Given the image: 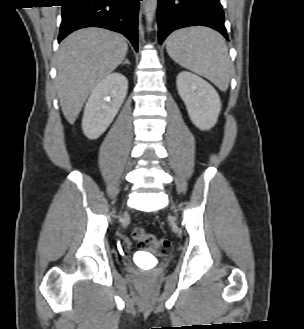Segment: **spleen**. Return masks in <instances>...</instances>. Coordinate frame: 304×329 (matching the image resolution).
I'll list each match as a JSON object with an SVG mask.
<instances>
[{
  "instance_id": "3e777b00",
  "label": "spleen",
  "mask_w": 304,
  "mask_h": 329,
  "mask_svg": "<svg viewBox=\"0 0 304 329\" xmlns=\"http://www.w3.org/2000/svg\"><path fill=\"white\" fill-rule=\"evenodd\" d=\"M169 56L182 67L197 73L221 91L228 89L231 62L223 37L202 26L174 31L167 39Z\"/></svg>"
}]
</instances>
